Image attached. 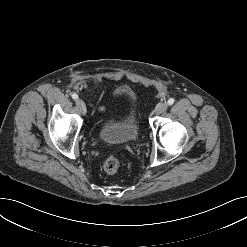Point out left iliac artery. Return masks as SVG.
<instances>
[{"label": "left iliac artery", "instance_id": "obj_1", "mask_svg": "<svg viewBox=\"0 0 247 247\" xmlns=\"http://www.w3.org/2000/svg\"><path fill=\"white\" fill-rule=\"evenodd\" d=\"M174 103V99L173 98H170L169 100H168V105H172Z\"/></svg>", "mask_w": 247, "mask_h": 247}]
</instances>
